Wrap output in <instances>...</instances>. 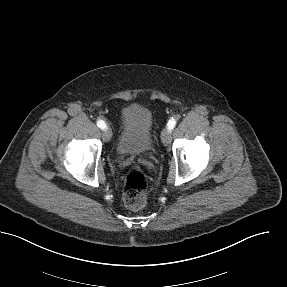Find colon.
<instances>
[{
	"label": "colon",
	"instance_id": "5ec220e1",
	"mask_svg": "<svg viewBox=\"0 0 287 287\" xmlns=\"http://www.w3.org/2000/svg\"><path fill=\"white\" fill-rule=\"evenodd\" d=\"M148 178L143 170L137 167L131 168L124 182V202L130 209L142 208L147 200Z\"/></svg>",
	"mask_w": 287,
	"mask_h": 287
}]
</instances>
